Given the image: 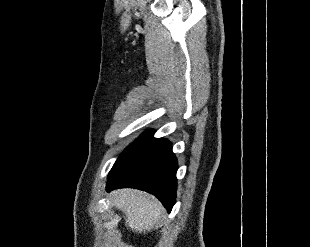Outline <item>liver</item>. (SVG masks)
Segmentation results:
<instances>
[{
    "label": "liver",
    "instance_id": "1",
    "mask_svg": "<svg viewBox=\"0 0 310 247\" xmlns=\"http://www.w3.org/2000/svg\"><path fill=\"white\" fill-rule=\"evenodd\" d=\"M112 203L126 215V226L135 232L150 231L160 219L162 206L144 192L124 189L112 193Z\"/></svg>",
    "mask_w": 310,
    "mask_h": 247
}]
</instances>
